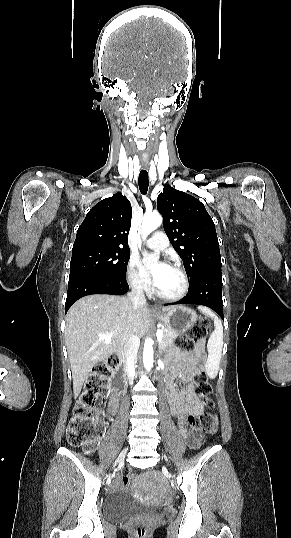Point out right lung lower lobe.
I'll return each instance as SVG.
<instances>
[{
	"label": "right lung lower lobe",
	"instance_id": "right-lung-lower-lobe-1",
	"mask_svg": "<svg viewBox=\"0 0 291 538\" xmlns=\"http://www.w3.org/2000/svg\"><path fill=\"white\" fill-rule=\"evenodd\" d=\"M129 289L126 278L106 277L93 274L69 278L65 312L81 297L91 294L123 295Z\"/></svg>",
	"mask_w": 291,
	"mask_h": 538
}]
</instances>
